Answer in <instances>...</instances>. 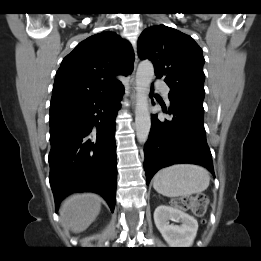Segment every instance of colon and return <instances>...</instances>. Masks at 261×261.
<instances>
[{
    "mask_svg": "<svg viewBox=\"0 0 261 261\" xmlns=\"http://www.w3.org/2000/svg\"><path fill=\"white\" fill-rule=\"evenodd\" d=\"M208 198L205 194L195 196H184L176 200V205L180 209H190L196 216L201 217L206 213Z\"/></svg>",
    "mask_w": 261,
    "mask_h": 261,
    "instance_id": "obj_1",
    "label": "colon"
}]
</instances>
